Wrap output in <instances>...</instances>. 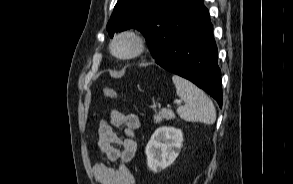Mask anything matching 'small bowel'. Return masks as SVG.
Masks as SVG:
<instances>
[{"label":"small bowel","mask_w":293,"mask_h":184,"mask_svg":"<svg viewBox=\"0 0 293 184\" xmlns=\"http://www.w3.org/2000/svg\"><path fill=\"white\" fill-rule=\"evenodd\" d=\"M140 127L139 116L112 110L108 120L102 119L98 125V147L104 161L92 168L94 179L100 184H134V177L127 165L136 154L135 131ZM114 128L124 130V136ZM115 163H117L115 165Z\"/></svg>","instance_id":"1"}]
</instances>
